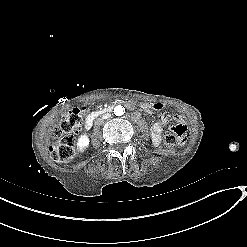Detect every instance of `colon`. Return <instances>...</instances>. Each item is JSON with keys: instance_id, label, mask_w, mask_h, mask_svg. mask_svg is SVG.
Returning <instances> with one entry per match:
<instances>
[{"instance_id": "1", "label": "colon", "mask_w": 247, "mask_h": 247, "mask_svg": "<svg viewBox=\"0 0 247 247\" xmlns=\"http://www.w3.org/2000/svg\"><path fill=\"white\" fill-rule=\"evenodd\" d=\"M155 111L163 110L162 102L154 103ZM84 120V111L76 108L69 114L63 116L57 123L53 131L55 141L49 143V151L55 161L65 163L74 156V131L79 128ZM188 137L187 126L183 123L171 126L170 130L164 136V144L167 147L173 148L176 145H182Z\"/></svg>"}]
</instances>
